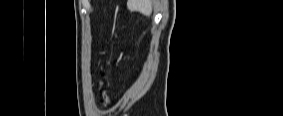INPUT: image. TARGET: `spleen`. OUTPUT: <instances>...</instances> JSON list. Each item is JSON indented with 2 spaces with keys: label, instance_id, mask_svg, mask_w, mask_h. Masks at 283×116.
Returning a JSON list of instances; mask_svg holds the SVG:
<instances>
[{
  "label": "spleen",
  "instance_id": "spleen-1",
  "mask_svg": "<svg viewBox=\"0 0 283 116\" xmlns=\"http://www.w3.org/2000/svg\"><path fill=\"white\" fill-rule=\"evenodd\" d=\"M127 7L130 11H138L148 17L152 13V3L150 0H128Z\"/></svg>",
  "mask_w": 283,
  "mask_h": 116
}]
</instances>
